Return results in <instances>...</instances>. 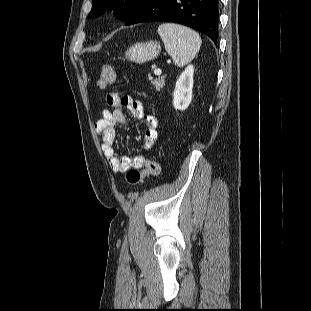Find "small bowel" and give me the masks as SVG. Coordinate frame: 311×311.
<instances>
[{
  "mask_svg": "<svg viewBox=\"0 0 311 311\" xmlns=\"http://www.w3.org/2000/svg\"><path fill=\"white\" fill-rule=\"evenodd\" d=\"M106 103L109 108L103 110L102 117L95 124V129L101 135L103 151L111 170L115 173H124L130 169L143 168L145 164L143 155H135L131 158L119 156L115 149L116 126L127 124L123 108L129 110L134 117L143 119L146 124L144 144L147 149H150L158 139V119L153 115H145L143 103L130 96L110 93L106 96Z\"/></svg>",
  "mask_w": 311,
  "mask_h": 311,
  "instance_id": "small-bowel-1",
  "label": "small bowel"
}]
</instances>
